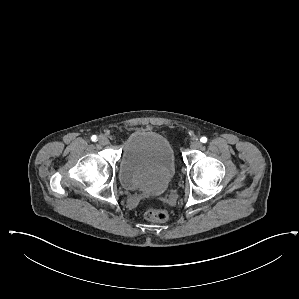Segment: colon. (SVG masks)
<instances>
[{
	"label": "colon",
	"instance_id": "5ec220e1",
	"mask_svg": "<svg viewBox=\"0 0 299 299\" xmlns=\"http://www.w3.org/2000/svg\"><path fill=\"white\" fill-rule=\"evenodd\" d=\"M144 217L155 223H165L169 220V215L166 211L153 208L147 209L144 212Z\"/></svg>",
	"mask_w": 299,
	"mask_h": 299
}]
</instances>
